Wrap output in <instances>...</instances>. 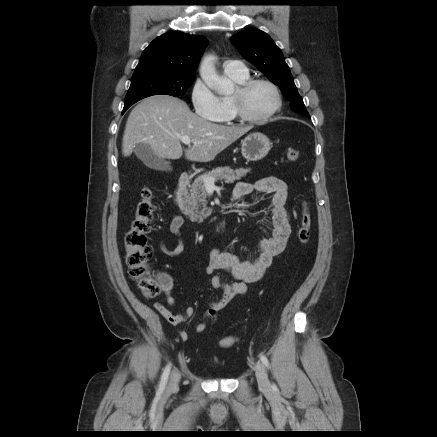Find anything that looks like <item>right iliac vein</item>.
Here are the masks:
<instances>
[{"mask_svg": "<svg viewBox=\"0 0 437 437\" xmlns=\"http://www.w3.org/2000/svg\"><path fill=\"white\" fill-rule=\"evenodd\" d=\"M179 381H180V373L175 370V371L172 372V374L170 376V381H169V384H168V390L172 391V390L177 389Z\"/></svg>", "mask_w": 437, "mask_h": 437, "instance_id": "right-iliac-vein-1", "label": "right iliac vein"}]
</instances>
